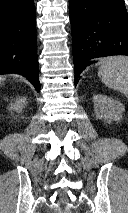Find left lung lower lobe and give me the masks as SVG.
Here are the masks:
<instances>
[{"label": "left lung lower lobe", "instance_id": "0a47b994", "mask_svg": "<svg viewBox=\"0 0 128 213\" xmlns=\"http://www.w3.org/2000/svg\"><path fill=\"white\" fill-rule=\"evenodd\" d=\"M75 86L92 62L110 55H128V13L124 0H70Z\"/></svg>", "mask_w": 128, "mask_h": 213}]
</instances>
